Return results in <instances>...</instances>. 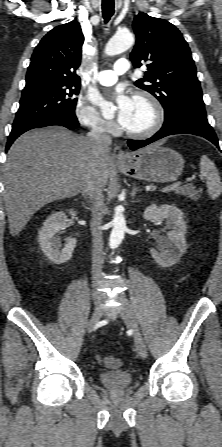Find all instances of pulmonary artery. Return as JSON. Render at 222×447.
<instances>
[{"label": "pulmonary artery", "instance_id": "pulmonary-artery-1", "mask_svg": "<svg viewBox=\"0 0 222 447\" xmlns=\"http://www.w3.org/2000/svg\"><path fill=\"white\" fill-rule=\"evenodd\" d=\"M129 70V61L121 59L116 61L114 70H102L96 75V81L103 86H111L116 83L118 76L126 74Z\"/></svg>", "mask_w": 222, "mask_h": 447}]
</instances>
